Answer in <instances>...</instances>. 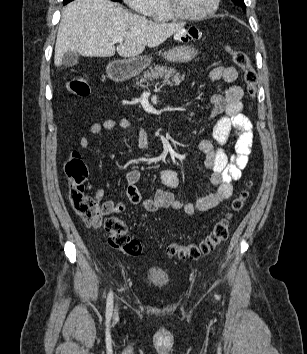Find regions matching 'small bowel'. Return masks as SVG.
Returning a JSON list of instances; mask_svg holds the SVG:
<instances>
[{
    "label": "small bowel",
    "mask_w": 307,
    "mask_h": 354,
    "mask_svg": "<svg viewBox=\"0 0 307 354\" xmlns=\"http://www.w3.org/2000/svg\"><path fill=\"white\" fill-rule=\"evenodd\" d=\"M189 35L188 29H177L174 32L175 38H186ZM209 77L212 81L222 80L231 84L236 81L238 73L234 67L217 66L211 70ZM243 95L244 91L240 86L231 85L223 94H216L211 99L212 117H218L213 128V140L220 147H215L210 140H202L199 143V150L205 156V165L211 173L210 181L215 187V192L198 199L194 203H182L177 200L172 192L166 189H159L153 197L144 198L143 189L137 185L141 172L138 169H131L125 174L126 194L129 201L147 212H156L159 209L168 208L191 216L196 212L207 211L227 200L232 195V182L240 179L242 170L248 164L253 144L252 124L242 114ZM117 127L133 132L137 143L141 147L149 146L147 131L144 128H137L127 118L95 122L90 125L89 133L96 135ZM232 131L236 134L235 154L229 160L222 147L227 144ZM79 145L81 148L87 149L90 146V139L86 136L82 137ZM161 178L164 185L169 189L177 188L179 185V177L172 169L163 170ZM104 195L103 188H97L94 192V198L97 201L102 200ZM103 205L107 214L122 212L125 209L123 202L105 201Z\"/></svg>",
    "instance_id": "c3829d8e"
}]
</instances>
